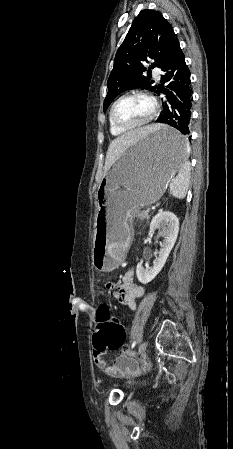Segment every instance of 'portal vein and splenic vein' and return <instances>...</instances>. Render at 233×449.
<instances>
[{
  "instance_id": "1",
  "label": "portal vein and splenic vein",
  "mask_w": 233,
  "mask_h": 449,
  "mask_svg": "<svg viewBox=\"0 0 233 449\" xmlns=\"http://www.w3.org/2000/svg\"><path fill=\"white\" fill-rule=\"evenodd\" d=\"M150 211V209H147L146 212L148 213Z\"/></svg>"
}]
</instances>
